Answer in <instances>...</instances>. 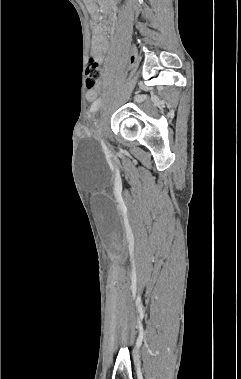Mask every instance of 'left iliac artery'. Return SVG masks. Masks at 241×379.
I'll list each match as a JSON object with an SVG mask.
<instances>
[{"label":"left iliac artery","mask_w":241,"mask_h":379,"mask_svg":"<svg viewBox=\"0 0 241 379\" xmlns=\"http://www.w3.org/2000/svg\"><path fill=\"white\" fill-rule=\"evenodd\" d=\"M98 132H99V134H100V131L98 130ZM101 143H102V145L103 146H105V143H104V141L101 139Z\"/></svg>","instance_id":"obj_1"}]
</instances>
